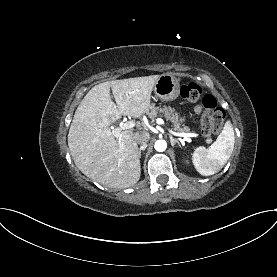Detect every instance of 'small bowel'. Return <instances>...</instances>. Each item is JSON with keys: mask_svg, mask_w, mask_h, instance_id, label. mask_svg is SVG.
Returning a JSON list of instances; mask_svg holds the SVG:
<instances>
[{"mask_svg": "<svg viewBox=\"0 0 277 277\" xmlns=\"http://www.w3.org/2000/svg\"><path fill=\"white\" fill-rule=\"evenodd\" d=\"M201 110H202V107H201V106H197V107L195 108V111H196L197 113H200Z\"/></svg>", "mask_w": 277, "mask_h": 277, "instance_id": "obj_1", "label": "small bowel"}]
</instances>
